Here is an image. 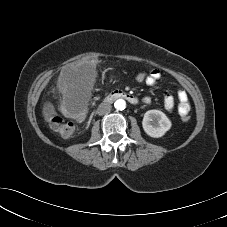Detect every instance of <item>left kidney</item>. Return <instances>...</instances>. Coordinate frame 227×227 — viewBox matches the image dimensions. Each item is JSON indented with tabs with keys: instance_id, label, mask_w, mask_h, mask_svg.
I'll return each mask as SVG.
<instances>
[{
	"instance_id": "left-kidney-1",
	"label": "left kidney",
	"mask_w": 227,
	"mask_h": 227,
	"mask_svg": "<svg viewBox=\"0 0 227 227\" xmlns=\"http://www.w3.org/2000/svg\"><path fill=\"white\" fill-rule=\"evenodd\" d=\"M142 126L147 135L159 138L171 128V121L162 111L149 110L144 114Z\"/></svg>"
}]
</instances>
